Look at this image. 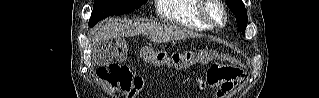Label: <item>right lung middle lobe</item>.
Returning <instances> with one entry per match:
<instances>
[{
  "mask_svg": "<svg viewBox=\"0 0 319 98\" xmlns=\"http://www.w3.org/2000/svg\"><path fill=\"white\" fill-rule=\"evenodd\" d=\"M147 0H94L89 26L112 15L130 13L145 4Z\"/></svg>",
  "mask_w": 319,
  "mask_h": 98,
  "instance_id": "dd1d6c3e",
  "label": "right lung middle lobe"
}]
</instances>
